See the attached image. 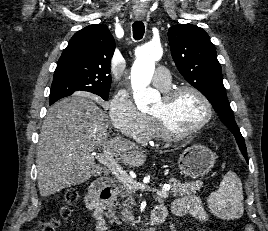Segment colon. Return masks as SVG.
I'll return each mask as SVG.
<instances>
[{
    "instance_id": "obj_1",
    "label": "colon",
    "mask_w": 268,
    "mask_h": 231,
    "mask_svg": "<svg viewBox=\"0 0 268 231\" xmlns=\"http://www.w3.org/2000/svg\"><path fill=\"white\" fill-rule=\"evenodd\" d=\"M68 202H74L77 199V193L74 191H69L66 195ZM61 213L66 215L68 214L67 208H62ZM57 221L55 219H47L44 221H40L37 225V231H56L57 229ZM245 231H255V228L252 225H248Z\"/></svg>"
}]
</instances>
